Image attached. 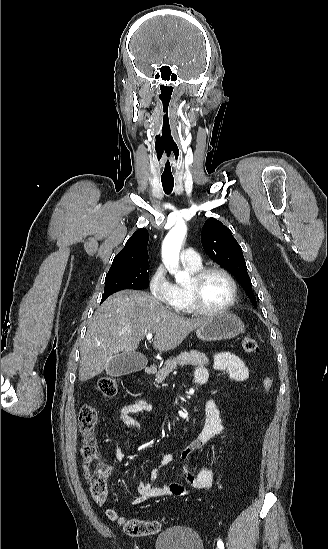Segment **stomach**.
<instances>
[{
  "label": "stomach",
  "instance_id": "0dacf381",
  "mask_svg": "<svg viewBox=\"0 0 328 549\" xmlns=\"http://www.w3.org/2000/svg\"><path fill=\"white\" fill-rule=\"evenodd\" d=\"M201 327L196 331V337L200 341H223V339H234L244 333V323L237 315L229 311H219L212 317L205 319Z\"/></svg>",
  "mask_w": 328,
  "mask_h": 549
}]
</instances>
